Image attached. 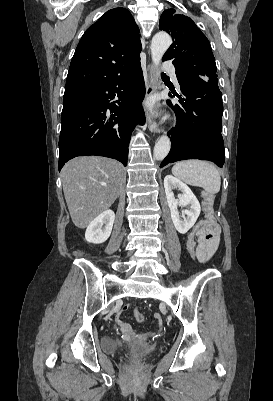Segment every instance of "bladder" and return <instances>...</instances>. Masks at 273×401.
<instances>
[{
  "instance_id": "bladder-1",
  "label": "bladder",
  "mask_w": 273,
  "mask_h": 401,
  "mask_svg": "<svg viewBox=\"0 0 273 401\" xmlns=\"http://www.w3.org/2000/svg\"><path fill=\"white\" fill-rule=\"evenodd\" d=\"M103 350L110 354H122L126 356H131L135 359H145L157 352L154 347H149L145 349L138 350L136 352L130 353L126 347L120 341L107 336L102 341Z\"/></svg>"
}]
</instances>
